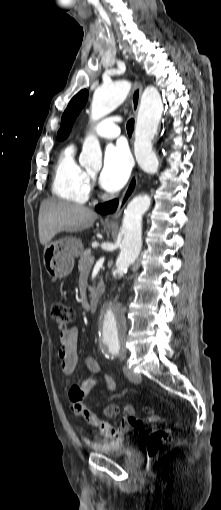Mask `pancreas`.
Listing matches in <instances>:
<instances>
[{
	"mask_svg": "<svg viewBox=\"0 0 221 510\" xmlns=\"http://www.w3.org/2000/svg\"><path fill=\"white\" fill-rule=\"evenodd\" d=\"M91 256L92 255L90 249H86L80 254V259L78 262V268L80 271L84 269L89 271L91 269L92 263H90L89 260Z\"/></svg>",
	"mask_w": 221,
	"mask_h": 510,
	"instance_id": "cf45deb5",
	"label": "pancreas"
}]
</instances>
